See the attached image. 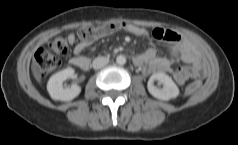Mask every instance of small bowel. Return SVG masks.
Instances as JSON below:
<instances>
[{"label": "small bowel", "instance_id": "obj_1", "mask_svg": "<svg viewBox=\"0 0 238 145\" xmlns=\"http://www.w3.org/2000/svg\"><path fill=\"white\" fill-rule=\"evenodd\" d=\"M125 31L139 37L150 38L157 42H166L174 45L179 51L180 59L189 64L187 67H181L176 71H172L171 65L174 62L173 57H160L153 48L147 49L140 55L136 56L137 66L144 68L148 74L156 73H172L178 85H183L191 78H204L207 74L206 66L202 60L200 53L187 41L183 40V35L178 30L172 28L151 27L149 31L145 28L128 24L124 28ZM70 41H74V37L70 36ZM85 45L78 43L73 50V56L70 63L83 70H86L90 64L88 58L81 56Z\"/></svg>", "mask_w": 238, "mask_h": 145}]
</instances>
